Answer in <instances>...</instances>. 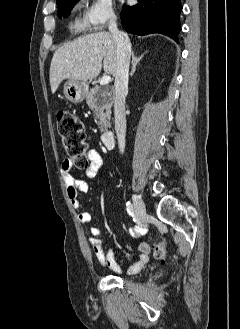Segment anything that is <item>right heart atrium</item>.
Instances as JSON below:
<instances>
[{
    "mask_svg": "<svg viewBox=\"0 0 240 329\" xmlns=\"http://www.w3.org/2000/svg\"><path fill=\"white\" fill-rule=\"evenodd\" d=\"M116 19L112 0H92L84 16V24L93 31H101Z\"/></svg>",
    "mask_w": 240,
    "mask_h": 329,
    "instance_id": "d8ad5b80",
    "label": "right heart atrium"
}]
</instances>
